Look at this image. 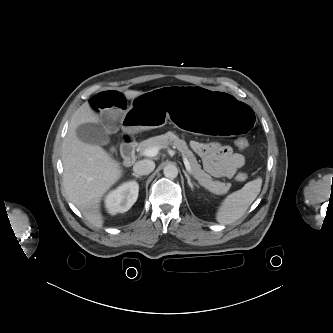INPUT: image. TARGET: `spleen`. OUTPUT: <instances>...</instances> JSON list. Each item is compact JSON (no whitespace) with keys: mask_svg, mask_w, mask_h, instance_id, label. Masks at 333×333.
Returning <instances> with one entry per match:
<instances>
[{"mask_svg":"<svg viewBox=\"0 0 333 333\" xmlns=\"http://www.w3.org/2000/svg\"><path fill=\"white\" fill-rule=\"evenodd\" d=\"M261 186L262 178L258 177L226 196L216 212L217 222L228 225L240 219L259 195Z\"/></svg>","mask_w":333,"mask_h":333,"instance_id":"spleen-1","label":"spleen"}]
</instances>
